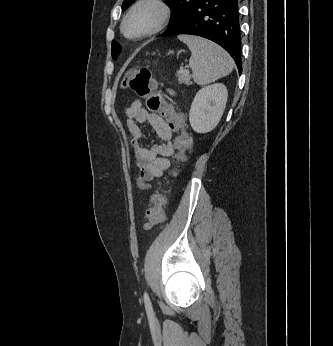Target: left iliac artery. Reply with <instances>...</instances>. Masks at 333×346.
Returning <instances> with one entry per match:
<instances>
[{
  "instance_id": "left-iliac-artery-1",
  "label": "left iliac artery",
  "mask_w": 333,
  "mask_h": 346,
  "mask_svg": "<svg viewBox=\"0 0 333 346\" xmlns=\"http://www.w3.org/2000/svg\"><path fill=\"white\" fill-rule=\"evenodd\" d=\"M144 303H145V309H146L148 318L153 319L154 318L153 308H152V304L147 292L144 293Z\"/></svg>"
}]
</instances>
